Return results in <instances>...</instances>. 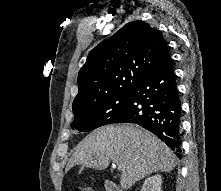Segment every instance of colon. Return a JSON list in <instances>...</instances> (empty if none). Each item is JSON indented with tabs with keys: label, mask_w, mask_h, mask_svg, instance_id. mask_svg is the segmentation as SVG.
I'll return each mask as SVG.
<instances>
[{
	"label": "colon",
	"mask_w": 221,
	"mask_h": 191,
	"mask_svg": "<svg viewBox=\"0 0 221 191\" xmlns=\"http://www.w3.org/2000/svg\"><path fill=\"white\" fill-rule=\"evenodd\" d=\"M73 191H93L92 189L88 187H76Z\"/></svg>",
	"instance_id": "1"
}]
</instances>
